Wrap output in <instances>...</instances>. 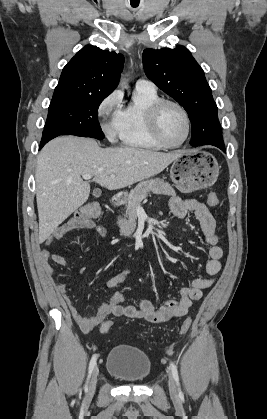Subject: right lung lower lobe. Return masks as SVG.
<instances>
[{"label": "right lung lower lobe", "mask_w": 267, "mask_h": 419, "mask_svg": "<svg viewBox=\"0 0 267 419\" xmlns=\"http://www.w3.org/2000/svg\"><path fill=\"white\" fill-rule=\"evenodd\" d=\"M54 137H56V135L52 133H48L47 135L43 134L39 149H41L49 140L53 139Z\"/></svg>", "instance_id": "obj_1"}]
</instances>
